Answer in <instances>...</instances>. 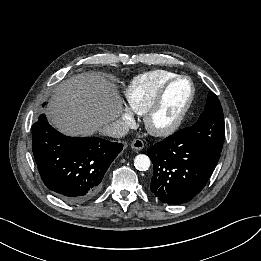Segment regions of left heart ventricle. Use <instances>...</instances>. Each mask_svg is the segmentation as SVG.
<instances>
[{"label":"left heart ventricle","mask_w":261,"mask_h":261,"mask_svg":"<svg viewBox=\"0 0 261 261\" xmlns=\"http://www.w3.org/2000/svg\"><path fill=\"white\" fill-rule=\"evenodd\" d=\"M191 93L190 82L181 79L176 82L168 92L161 110L154 119L157 127H166L170 125L180 114L186 105Z\"/></svg>","instance_id":"left-heart-ventricle-1"}]
</instances>
